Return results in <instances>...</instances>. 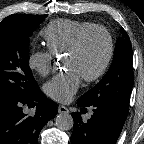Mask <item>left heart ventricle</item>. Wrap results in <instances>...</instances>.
Instances as JSON below:
<instances>
[{
    "instance_id": "left-heart-ventricle-1",
    "label": "left heart ventricle",
    "mask_w": 144,
    "mask_h": 144,
    "mask_svg": "<svg viewBox=\"0 0 144 144\" xmlns=\"http://www.w3.org/2000/svg\"><path fill=\"white\" fill-rule=\"evenodd\" d=\"M106 53L107 40L101 32L95 31L85 38L76 53L65 57V66L77 70L81 77L89 76L102 65Z\"/></svg>"
}]
</instances>
